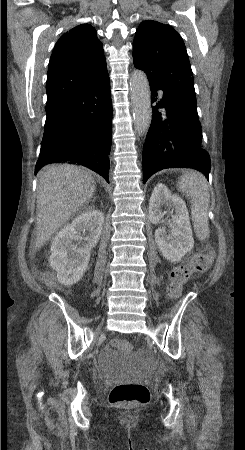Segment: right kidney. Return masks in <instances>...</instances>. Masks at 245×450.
<instances>
[{
  "label": "right kidney",
  "instance_id": "1",
  "mask_svg": "<svg viewBox=\"0 0 245 450\" xmlns=\"http://www.w3.org/2000/svg\"><path fill=\"white\" fill-rule=\"evenodd\" d=\"M103 224V213L90 210L77 216L56 234L49 262L56 270L61 284L71 286L82 278L88 267L91 250L100 238ZM81 232L87 233L83 238L86 243L78 247L74 240L82 239Z\"/></svg>",
  "mask_w": 245,
  "mask_h": 450
}]
</instances>
